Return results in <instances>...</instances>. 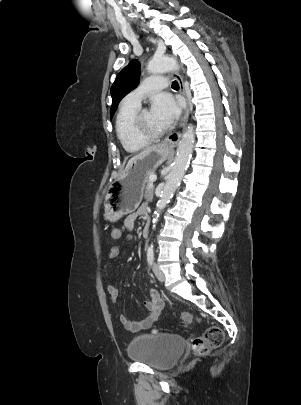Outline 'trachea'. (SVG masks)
I'll use <instances>...</instances> for the list:
<instances>
[{"label": "trachea", "mask_w": 301, "mask_h": 405, "mask_svg": "<svg viewBox=\"0 0 301 405\" xmlns=\"http://www.w3.org/2000/svg\"><path fill=\"white\" fill-rule=\"evenodd\" d=\"M172 88L173 89H179V84H178V82L176 80L172 82Z\"/></svg>", "instance_id": "obj_1"}]
</instances>
